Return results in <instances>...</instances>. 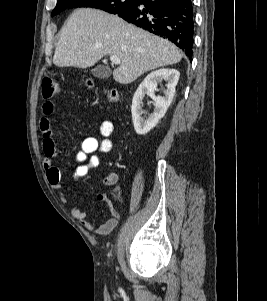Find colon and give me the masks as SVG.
I'll return each instance as SVG.
<instances>
[{"mask_svg": "<svg viewBox=\"0 0 267 301\" xmlns=\"http://www.w3.org/2000/svg\"><path fill=\"white\" fill-rule=\"evenodd\" d=\"M59 92L58 84L55 80L51 78H44L42 80V96L45 99H51L55 95H57ZM106 96L109 100L118 102L120 101V96L115 90H110L106 92Z\"/></svg>", "mask_w": 267, "mask_h": 301, "instance_id": "obj_1", "label": "colon"}]
</instances>
